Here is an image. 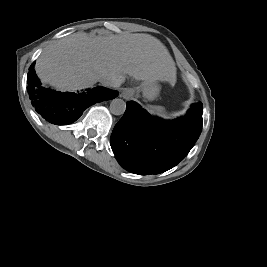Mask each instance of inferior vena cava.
I'll list each match as a JSON object with an SVG mask.
<instances>
[{"label":"inferior vena cava","mask_w":267,"mask_h":267,"mask_svg":"<svg viewBox=\"0 0 267 267\" xmlns=\"http://www.w3.org/2000/svg\"><path fill=\"white\" fill-rule=\"evenodd\" d=\"M99 82L102 85L107 86V87H115L116 86L115 80L113 78L109 77V76H106V75H102L99 78Z\"/></svg>","instance_id":"602c4592"}]
</instances>
